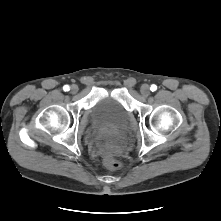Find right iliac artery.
<instances>
[{"label":"right iliac artery","instance_id":"1","mask_svg":"<svg viewBox=\"0 0 221 221\" xmlns=\"http://www.w3.org/2000/svg\"><path fill=\"white\" fill-rule=\"evenodd\" d=\"M63 90H64V91H69V90H70V87H69L68 85H65V86L63 87Z\"/></svg>","mask_w":221,"mask_h":221}]
</instances>
